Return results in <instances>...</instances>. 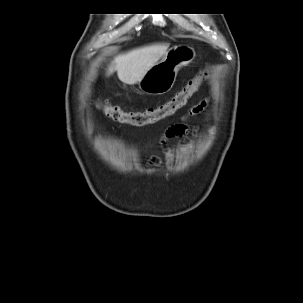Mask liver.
I'll return each mask as SVG.
<instances>
[{
    "mask_svg": "<svg viewBox=\"0 0 303 303\" xmlns=\"http://www.w3.org/2000/svg\"><path fill=\"white\" fill-rule=\"evenodd\" d=\"M168 47V43H158L118 54L108 66L107 75L117 71L121 82L136 84L165 55Z\"/></svg>",
    "mask_w": 303,
    "mask_h": 303,
    "instance_id": "6515ba94",
    "label": "liver"
}]
</instances>
